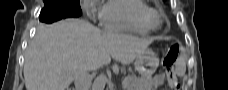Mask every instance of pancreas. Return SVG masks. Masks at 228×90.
<instances>
[{
	"mask_svg": "<svg viewBox=\"0 0 228 90\" xmlns=\"http://www.w3.org/2000/svg\"><path fill=\"white\" fill-rule=\"evenodd\" d=\"M123 82L124 90H155L163 83V80L158 78L127 76Z\"/></svg>",
	"mask_w": 228,
	"mask_h": 90,
	"instance_id": "cf45deb5",
	"label": "pancreas"
}]
</instances>
